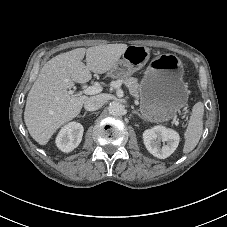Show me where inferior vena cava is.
Wrapping results in <instances>:
<instances>
[{
    "mask_svg": "<svg viewBox=\"0 0 227 227\" xmlns=\"http://www.w3.org/2000/svg\"><path fill=\"white\" fill-rule=\"evenodd\" d=\"M105 102L106 99L102 95L92 96L84 102V108L87 111H96L101 108Z\"/></svg>",
    "mask_w": 227,
    "mask_h": 227,
    "instance_id": "1",
    "label": "inferior vena cava"
}]
</instances>
